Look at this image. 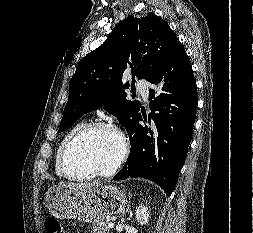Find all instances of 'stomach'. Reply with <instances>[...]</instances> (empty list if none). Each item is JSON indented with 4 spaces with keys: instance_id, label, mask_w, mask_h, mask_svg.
Listing matches in <instances>:
<instances>
[{
    "instance_id": "0dacf381",
    "label": "stomach",
    "mask_w": 253,
    "mask_h": 233,
    "mask_svg": "<svg viewBox=\"0 0 253 233\" xmlns=\"http://www.w3.org/2000/svg\"><path fill=\"white\" fill-rule=\"evenodd\" d=\"M44 203L55 218L97 223L124 212L128 201L125 192L113 185L58 184L48 189Z\"/></svg>"
}]
</instances>
